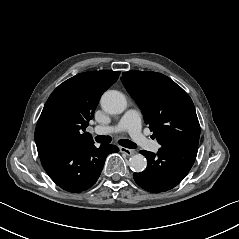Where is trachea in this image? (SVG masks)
Masks as SVG:
<instances>
[{
    "mask_svg": "<svg viewBox=\"0 0 239 239\" xmlns=\"http://www.w3.org/2000/svg\"><path fill=\"white\" fill-rule=\"evenodd\" d=\"M95 140L98 143L106 144V143H110L112 138L110 136L98 135V136L95 137ZM119 144L121 146H123V147L128 148V149L129 148L134 149V148L137 147V145L134 142H132V141H130L128 139H121V140H119Z\"/></svg>",
    "mask_w": 239,
    "mask_h": 239,
    "instance_id": "3493384b",
    "label": "trachea"
}]
</instances>
